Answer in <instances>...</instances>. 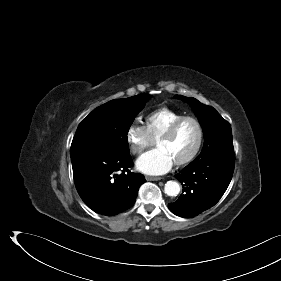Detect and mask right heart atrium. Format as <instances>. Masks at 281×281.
<instances>
[{
  "mask_svg": "<svg viewBox=\"0 0 281 281\" xmlns=\"http://www.w3.org/2000/svg\"><path fill=\"white\" fill-rule=\"evenodd\" d=\"M126 140L131 153L140 155L154 144L146 126L137 122L132 123L126 132Z\"/></svg>",
  "mask_w": 281,
  "mask_h": 281,
  "instance_id": "obj_1",
  "label": "right heart atrium"
}]
</instances>
